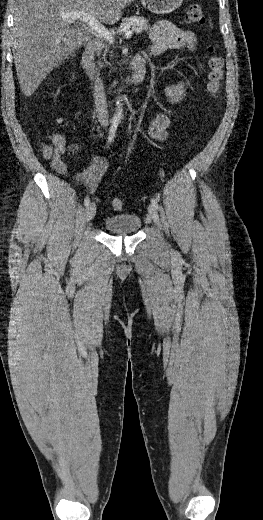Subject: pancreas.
Instances as JSON below:
<instances>
[{
  "label": "pancreas",
  "mask_w": 263,
  "mask_h": 520,
  "mask_svg": "<svg viewBox=\"0 0 263 520\" xmlns=\"http://www.w3.org/2000/svg\"><path fill=\"white\" fill-rule=\"evenodd\" d=\"M131 27V31L136 33H141L149 29L148 20L144 17L139 16H131L129 18H124L122 23L120 24V31H127ZM108 47L105 46V54L108 51ZM104 54V56H105ZM105 59V57H104Z\"/></svg>",
  "instance_id": "obj_1"
}]
</instances>
